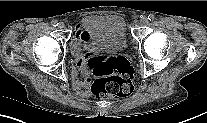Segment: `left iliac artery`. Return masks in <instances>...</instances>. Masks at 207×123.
I'll list each match as a JSON object with an SVG mask.
<instances>
[{"label":"left iliac artery","mask_w":207,"mask_h":123,"mask_svg":"<svg viewBox=\"0 0 207 123\" xmlns=\"http://www.w3.org/2000/svg\"><path fill=\"white\" fill-rule=\"evenodd\" d=\"M155 19V16L153 14L148 15V20L153 21Z\"/></svg>","instance_id":"obj_1"}]
</instances>
